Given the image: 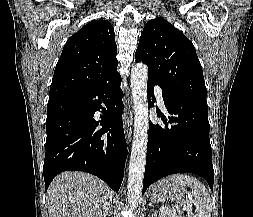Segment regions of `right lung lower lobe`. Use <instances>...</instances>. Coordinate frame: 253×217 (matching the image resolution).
Segmentation results:
<instances>
[{"label":"right lung lower lobe","instance_id":"1","mask_svg":"<svg viewBox=\"0 0 253 217\" xmlns=\"http://www.w3.org/2000/svg\"><path fill=\"white\" fill-rule=\"evenodd\" d=\"M120 83L117 72L85 92L48 102L46 190L57 174L67 170L94 174L119 190L127 157ZM100 109L101 120L97 121L94 114Z\"/></svg>","mask_w":253,"mask_h":217}]
</instances>
